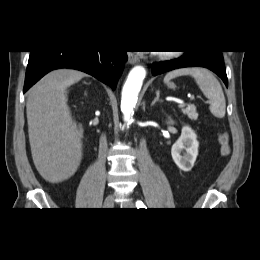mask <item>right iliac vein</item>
Here are the masks:
<instances>
[{
	"label": "right iliac vein",
	"mask_w": 260,
	"mask_h": 260,
	"mask_svg": "<svg viewBox=\"0 0 260 260\" xmlns=\"http://www.w3.org/2000/svg\"><path fill=\"white\" fill-rule=\"evenodd\" d=\"M114 198L113 194L109 195L104 201V208H112L114 206Z\"/></svg>",
	"instance_id": "right-iliac-vein-1"
}]
</instances>
